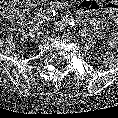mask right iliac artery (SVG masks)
Instances as JSON below:
<instances>
[{
    "label": "right iliac artery",
    "mask_w": 118,
    "mask_h": 118,
    "mask_svg": "<svg viewBox=\"0 0 118 118\" xmlns=\"http://www.w3.org/2000/svg\"><path fill=\"white\" fill-rule=\"evenodd\" d=\"M56 12L54 9H50V10H47L46 13L44 15H40L39 18H38V21L40 23L46 21V20H49L51 19L53 16H55Z\"/></svg>",
    "instance_id": "obj_1"
}]
</instances>
